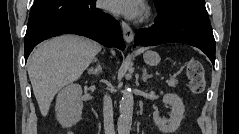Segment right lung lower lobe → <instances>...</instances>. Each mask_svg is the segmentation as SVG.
Segmentation results:
<instances>
[{
    "label": "right lung lower lobe",
    "instance_id": "1",
    "mask_svg": "<svg viewBox=\"0 0 239 134\" xmlns=\"http://www.w3.org/2000/svg\"><path fill=\"white\" fill-rule=\"evenodd\" d=\"M61 34H78L106 47L125 48L119 23L97 9L96 0H38L28 20L25 60L38 43Z\"/></svg>",
    "mask_w": 239,
    "mask_h": 134
}]
</instances>
